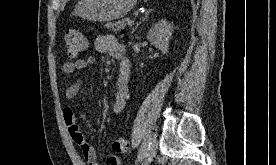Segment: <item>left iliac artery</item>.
Here are the masks:
<instances>
[{"mask_svg": "<svg viewBox=\"0 0 276 165\" xmlns=\"http://www.w3.org/2000/svg\"><path fill=\"white\" fill-rule=\"evenodd\" d=\"M148 148H149V142H148V139H145L144 142L141 144V147L138 151V156H137L138 161H140L144 158V155L147 152Z\"/></svg>", "mask_w": 276, "mask_h": 165, "instance_id": "obj_1", "label": "left iliac artery"}]
</instances>
